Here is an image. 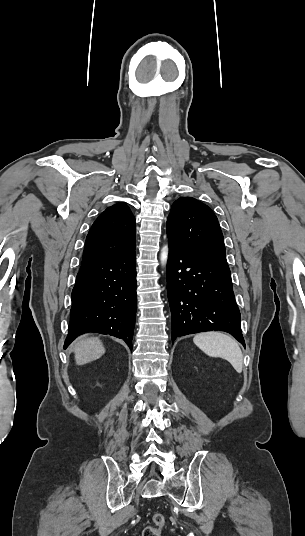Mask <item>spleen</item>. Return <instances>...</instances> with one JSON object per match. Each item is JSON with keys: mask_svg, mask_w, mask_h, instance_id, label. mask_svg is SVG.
Listing matches in <instances>:
<instances>
[{"mask_svg": "<svg viewBox=\"0 0 305 536\" xmlns=\"http://www.w3.org/2000/svg\"><path fill=\"white\" fill-rule=\"evenodd\" d=\"M194 344L211 358H223L230 362L234 370L241 374L243 366V354L236 342L230 336L221 332H204L193 338Z\"/></svg>", "mask_w": 305, "mask_h": 536, "instance_id": "obj_1", "label": "spleen"}]
</instances>
